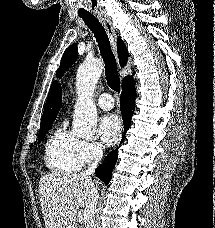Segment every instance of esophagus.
<instances>
[{"instance_id":"obj_1","label":"esophagus","mask_w":215,"mask_h":228,"mask_svg":"<svg viewBox=\"0 0 215 228\" xmlns=\"http://www.w3.org/2000/svg\"><path fill=\"white\" fill-rule=\"evenodd\" d=\"M98 19L102 23L103 27L105 28V31L107 33V36L109 38L113 53L116 56V59L118 61V55H117V35L115 32V29L112 25L111 20L107 17L105 14H98Z\"/></svg>"}]
</instances>
